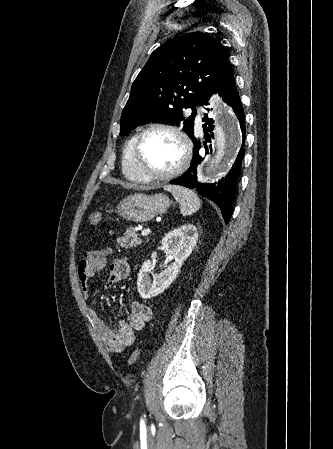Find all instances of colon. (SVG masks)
Returning a JSON list of instances; mask_svg holds the SVG:
<instances>
[{
	"label": "colon",
	"mask_w": 333,
	"mask_h": 449,
	"mask_svg": "<svg viewBox=\"0 0 333 449\" xmlns=\"http://www.w3.org/2000/svg\"><path fill=\"white\" fill-rule=\"evenodd\" d=\"M101 220V213L99 212H94L89 216V223L93 226L97 225ZM140 357V350L139 349H135L133 350L129 356H128V363L130 365H134L137 363V361L139 360Z\"/></svg>",
	"instance_id": "obj_1"
}]
</instances>
